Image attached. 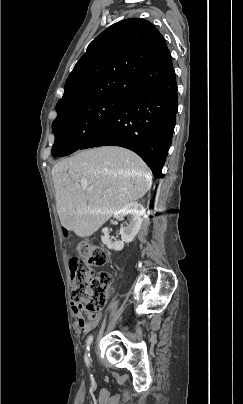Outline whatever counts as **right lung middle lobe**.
<instances>
[{
  "label": "right lung middle lobe",
  "mask_w": 243,
  "mask_h": 404,
  "mask_svg": "<svg viewBox=\"0 0 243 404\" xmlns=\"http://www.w3.org/2000/svg\"><path fill=\"white\" fill-rule=\"evenodd\" d=\"M125 98L108 97L73 107L52 123L53 157L67 156L94 136L117 112Z\"/></svg>",
  "instance_id": "obj_1"
}]
</instances>
